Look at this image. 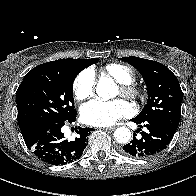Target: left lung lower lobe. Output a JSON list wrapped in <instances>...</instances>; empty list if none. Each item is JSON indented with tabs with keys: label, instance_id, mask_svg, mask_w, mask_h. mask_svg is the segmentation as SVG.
<instances>
[{
	"label": "left lung lower lobe",
	"instance_id": "left-lung-lower-lobe-1",
	"mask_svg": "<svg viewBox=\"0 0 196 196\" xmlns=\"http://www.w3.org/2000/svg\"><path fill=\"white\" fill-rule=\"evenodd\" d=\"M132 121L146 129H138L133 133V140L123 146L122 153L130 157L146 158L161 152L167 148L177 130L159 119L133 118ZM139 131L141 136H137Z\"/></svg>",
	"mask_w": 196,
	"mask_h": 196
}]
</instances>
